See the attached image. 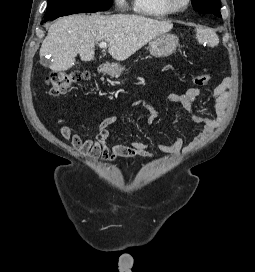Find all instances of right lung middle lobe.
<instances>
[{
	"instance_id": "obj_1",
	"label": "right lung middle lobe",
	"mask_w": 255,
	"mask_h": 272,
	"mask_svg": "<svg viewBox=\"0 0 255 272\" xmlns=\"http://www.w3.org/2000/svg\"><path fill=\"white\" fill-rule=\"evenodd\" d=\"M113 0H49L44 18L105 11Z\"/></svg>"
}]
</instances>
